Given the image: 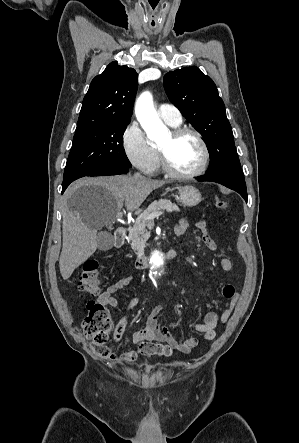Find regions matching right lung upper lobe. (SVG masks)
I'll return each instance as SVG.
<instances>
[{
	"label": "right lung upper lobe",
	"instance_id": "cb5924a9",
	"mask_svg": "<svg viewBox=\"0 0 299 443\" xmlns=\"http://www.w3.org/2000/svg\"><path fill=\"white\" fill-rule=\"evenodd\" d=\"M138 75L133 68L111 62L96 76L83 99L76 130L108 121H130Z\"/></svg>",
	"mask_w": 299,
	"mask_h": 443
}]
</instances>
